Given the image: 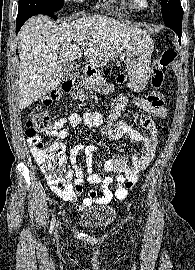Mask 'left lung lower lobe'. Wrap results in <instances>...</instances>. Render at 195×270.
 I'll return each instance as SVG.
<instances>
[{"label":"left lung lower lobe","mask_w":195,"mask_h":270,"mask_svg":"<svg viewBox=\"0 0 195 270\" xmlns=\"http://www.w3.org/2000/svg\"><path fill=\"white\" fill-rule=\"evenodd\" d=\"M176 32V34L178 35L179 37V43H180V40H181V35H182V28L181 29H172Z\"/></svg>","instance_id":"obj_1"}]
</instances>
